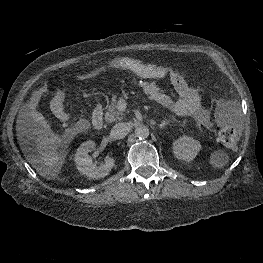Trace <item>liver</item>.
Listing matches in <instances>:
<instances>
[{"label":"liver","mask_w":263,"mask_h":263,"mask_svg":"<svg viewBox=\"0 0 263 263\" xmlns=\"http://www.w3.org/2000/svg\"><path fill=\"white\" fill-rule=\"evenodd\" d=\"M22 116L19 115L17 119V132L19 140L23 135ZM74 132L70 129L61 137L53 132L44 134L40 131L37 135V148L41 154V162L43 167L38 166L37 171L43 177L53 178L60 172L61 166L65 161V157L57 152L60 145L65 142V138L68 135H73Z\"/></svg>","instance_id":"obj_1"}]
</instances>
